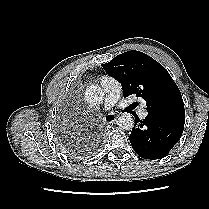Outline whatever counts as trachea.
<instances>
[{
  "label": "trachea",
  "mask_w": 209,
  "mask_h": 209,
  "mask_svg": "<svg viewBox=\"0 0 209 209\" xmlns=\"http://www.w3.org/2000/svg\"><path fill=\"white\" fill-rule=\"evenodd\" d=\"M106 120H111L110 118L106 117Z\"/></svg>",
  "instance_id": "1"
}]
</instances>
